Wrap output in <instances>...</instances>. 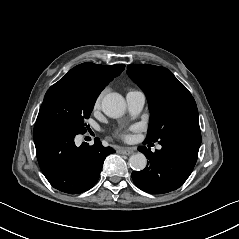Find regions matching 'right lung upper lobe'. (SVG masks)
I'll use <instances>...</instances> for the list:
<instances>
[{"mask_svg":"<svg viewBox=\"0 0 239 239\" xmlns=\"http://www.w3.org/2000/svg\"><path fill=\"white\" fill-rule=\"evenodd\" d=\"M124 68L123 64L105 66L83 63L72 68L64 77L78 87L100 93Z\"/></svg>","mask_w":239,"mask_h":239,"instance_id":"cb5924a9","label":"right lung upper lobe"}]
</instances>
